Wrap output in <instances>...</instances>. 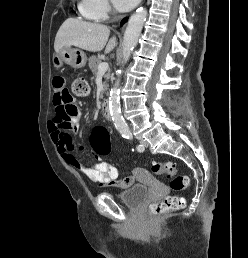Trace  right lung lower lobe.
<instances>
[{"label": "right lung lower lobe", "mask_w": 248, "mask_h": 258, "mask_svg": "<svg viewBox=\"0 0 248 258\" xmlns=\"http://www.w3.org/2000/svg\"><path fill=\"white\" fill-rule=\"evenodd\" d=\"M126 21H127V18L123 19L122 24L125 23Z\"/></svg>", "instance_id": "right-lung-lower-lobe-1"}]
</instances>
